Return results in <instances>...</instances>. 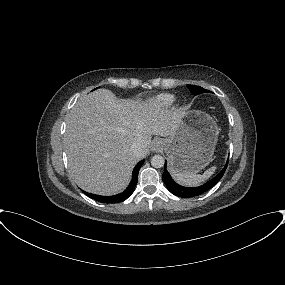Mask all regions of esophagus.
Segmentation results:
<instances>
[{
    "mask_svg": "<svg viewBox=\"0 0 285 285\" xmlns=\"http://www.w3.org/2000/svg\"><path fill=\"white\" fill-rule=\"evenodd\" d=\"M152 145V149L155 151H160L162 149V143L159 140L154 141Z\"/></svg>",
    "mask_w": 285,
    "mask_h": 285,
    "instance_id": "34e87169",
    "label": "esophagus"
}]
</instances>
